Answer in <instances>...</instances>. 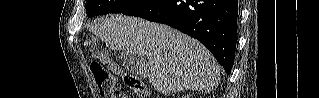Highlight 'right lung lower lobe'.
<instances>
[{"mask_svg":"<svg viewBox=\"0 0 319 98\" xmlns=\"http://www.w3.org/2000/svg\"><path fill=\"white\" fill-rule=\"evenodd\" d=\"M123 14L163 23L196 38L230 73L237 41L238 0H147Z\"/></svg>","mask_w":319,"mask_h":98,"instance_id":"98d812e1","label":"right lung lower lobe"}]
</instances>
